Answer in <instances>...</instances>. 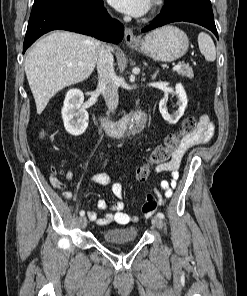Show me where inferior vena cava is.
Wrapping results in <instances>:
<instances>
[{
    "instance_id": "obj_1",
    "label": "inferior vena cava",
    "mask_w": 247,
    "mask_h": 296,
    "mask_svg": "<svg viewBox=\"0 0 247 296\" xmlns=\"http://www.w3.org/2000/svg\"><path fill=\"white\" fill-rule=\"evenodd\" d=\"M111 52L112 48L110 46L106 44L101 46L97 61V71L98 87L102 91L109 111L114 113L118 107L119 96L117 76L114 71V59Z\"/></svg>"
}]
</instances>
